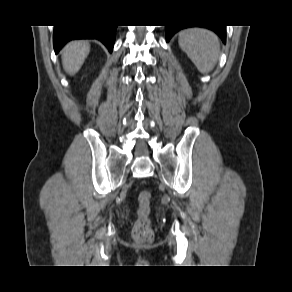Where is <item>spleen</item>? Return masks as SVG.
I'll return each mask as SVG.
<instances>
[{
	"label": "spleen",
	"mask_w": 292,
	"mask_h": 292,
	"mask_svg": "<svg viewBox=\"0 0 292 292\" xmlns=\"http://www.w3.org/2000/svg\"><path fill=\"white\" fill-rule=\"evenodd\" d=\"M179 46L199 72H210L219 58L218 37L210 30L189 28L180 32Z\"/></svg>",
	"instance_id": "spleen-1"
}]
</instances>
